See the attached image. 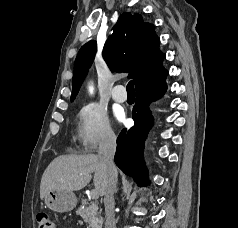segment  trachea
<instances>
[{"label": "trachea", "instance_id": "obj_1", "mask_svg": "<svg viewBox=\"0 0 238 228\" xmlns=\"http://www.w3.org/2000/svg\"><path fill=\"white\" fill-rule=\"evenodd\" d=\"M126 90H127V94L128 95H135V90H134V83L133 81H130L128 84H127V87H126Z\"/></svg>", "mask_w": 238, "mask_h": 228}]
</instances>
